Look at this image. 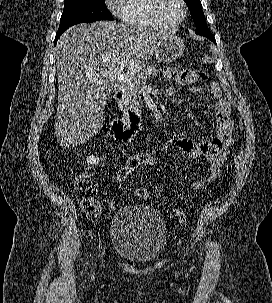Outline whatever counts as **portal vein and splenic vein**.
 Wrapping results in <instances>:
<instances>
[{
  "label": "portal vein and splenic vein",
  "instance_id": "obj_1",
  "mask_svg": "<svg viewBox=\"0 0 272 303\" xmlns=\"http://www.w3.org/2000/svg\"><path fill=\"white\" fill-rule=\"evenodd\" d=\"M103 81H108V82H117V83H131L132 78L128 75H124V74H119V73H114L111 74L107 77L106 80H95V82L97 83H102Z\"/></svg>",
  "mask_w": 272,
  "mask_h": 303
}]
</instances>
